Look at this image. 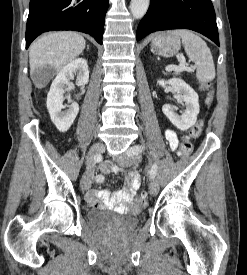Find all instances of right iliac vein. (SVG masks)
<instances>
[{
    "label": "right iliac vein",
    "mask_w": 247,
    "mask_h": 275,
    "mask_svg": "<svg viewBox=\"0 0 247 275\" xmlns=\"http://www.w3.org/2000/svg\"><path fill=\"white\" fill-rule=\"evenodd\" d=\"M105 151V147L102 144H98L93 146L87 156V170L85 174L82 176L80 181V187L82 190H87L91 186L92 180H93V168H94V157L98 154H102Z\"/></svg>",
    "instance_id": "right-iliac-vein-1"
}]
</instances>
